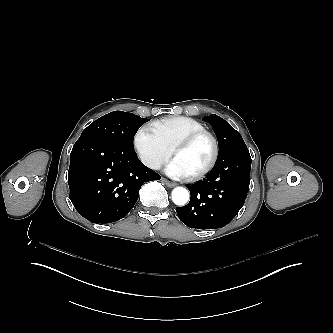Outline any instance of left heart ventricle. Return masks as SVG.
I'll use <instances>...</instances> for the list:
<instances>
[{"label": "left heart ventricle", "mask_w": 333, "mask_h": 333, "mask_svg": "<svg viewBox=\"0 0 333 333\" xmlns=\"http://www.w3.org/2000/svg\"><path fill=\"white\" fill-rule=\"evenodd\" d=\"M212 152L213 146L210 139L202 137L191 146L174 153L172 159H176L188 176H190L209 161Z\"/></svg>", "instance_id": "left-heart-ventricle-1"}]
</instances>
